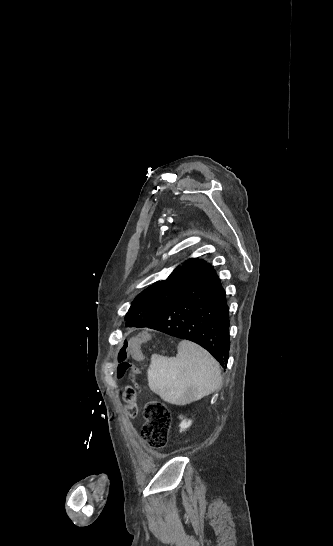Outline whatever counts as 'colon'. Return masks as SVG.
<instances>
[{
	"instance_id": "5ec220e1",
	"label": "colon",
	"mask_w": 333,
	"mask_h": 546,
	"mask_svg": "<svg viewBox=\"0 0 333 546\" xmlns=\"http://www.w3.org/2000/svg\"><path fill=\"white\" fill-rule=\"evenodd\" d=\"M125 343L123 348L119 352V366L118 376L122 377L129 375L127 378L128 384L139 385L142 387L144 384L140 382V378L135 376L138 374L139 369L130 361L126 360L129 348L131 344ZM124 400L128 403H134L136 400V391L132 386H127L123 393ZM145 418V425L142 430V437L149 448L153 450H160L164 448L169 439V433L172 424V417L169 409L159 401H149L145 404L143 409Z\"/></svg>"
}]
</instances>
